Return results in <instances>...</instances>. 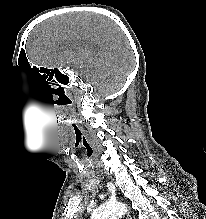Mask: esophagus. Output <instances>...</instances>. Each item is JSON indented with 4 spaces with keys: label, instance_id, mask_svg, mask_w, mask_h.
Segmentation results:
<instances>
[{
    "label": "esophagus",
    "instance_id": "esophagus-1",
    "mask_svg": "<svg viewBox=\"0 0 206 219\" xmlns=\"http://www.w3.org/2000/svg\"><path fill=\"white\" fill-rule=\"evenodd\" d=\"M126 219H132L131 217L127 216Z\"/></svg>",
    "mask_w": 206,
    "mask_h": 219
}]
</instances>
